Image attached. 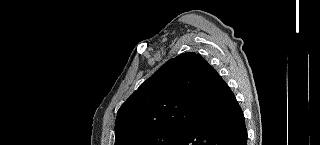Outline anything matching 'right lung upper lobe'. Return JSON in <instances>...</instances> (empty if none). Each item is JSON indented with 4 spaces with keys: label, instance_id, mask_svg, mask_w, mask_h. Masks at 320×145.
I'll return each instance as SVG.
<instances>
[{
    "label": "right lung upper lobe",
    "instance_id": "cb5924a9",
    "mask_svg": "<svg viewBox=\"0 0 320 145\" xmlns=\"http://www.w3.org/2000/svg\"><path fill=\"white\" fill-rule=\"evenodd\" d=\"M222 82L199 54L170 59L118 110L115 145H131L152 132L186 128L203 120L218 107Z\"/></svg>",
    "mask_w": 320,
    "mask_h": 145
}]
</instances>
